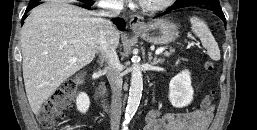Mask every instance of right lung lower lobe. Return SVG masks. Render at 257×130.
<instances>
[{
	"instance_id": "obj_1",
	"label": "right lung lower lobe",
	"mask_w": 257,
	"mask_h": 130,
	"mask_svg": "<svg viewBox=\"0 0 257 130\" xmlns=\"http://www.w3.org/2000/svg\"><path fill=\"white\" fill-rule=\"evenodd\" d=\"M37 5H38V1L31 0L30 3H29V6H28L27 9H26L25 14L28 13L32 8L36 7ZM25 18H26V17H25V15H24V16H23V20H24ZM114 22L118 25V28H119V29H121V30L124 29L125 24H124V22H123L121 19L116 18V19H114Z\"/></svg>"
}]
</instances>
